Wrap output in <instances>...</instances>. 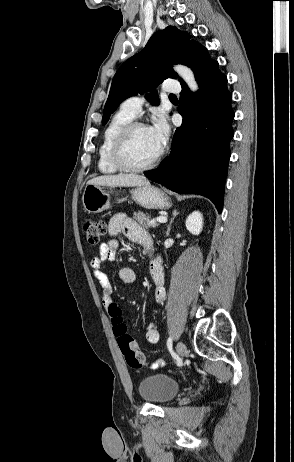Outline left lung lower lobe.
I'll use <instances>...</instances> for the list:
<instances>
[{"instance_id": "left-lung-lower-lobe-1", "label": "left lung lower lobe", "mask_w": 294, "mask_h": 462, "mask_svg": "<svg viewBox=\"0 0 294 462\" xmlns=\"http://www.w3.org/2000/svg\"><path fill=\"white\" fill-rule=\"evenodd\" d=\"M195 78L199 84L195 94L185 82L181 83L178 110L183 122L175 131L171 153L160 167L145 175L177 193L203 195L221 213L229 142L234 135L232 96L226 76L213 59L196 72ZM182 137L189 139L187 145Z\"/></svg>"}]
</instances>
